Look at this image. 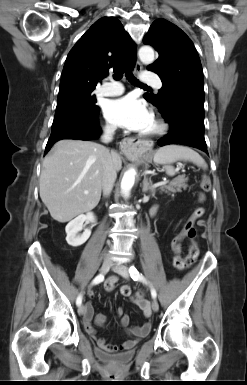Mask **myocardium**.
Wrapping results in <instances>:
<instances>
[{
  "mask_svg": "<svg viewBox=\"0 0 247 385\" xmlns=\"http://www.w3.org/2000/svg\"><path fill=\"white\" fill-rule=\"evenodd\" d=\"M153 121L155 123L154 129L149 132H144L143 137L153 138L160 135H163L167 130V124L165 121L157 114L153 115Z\"/></svg>",
  "mask_w": 247,
  "mask_h": 385,
  "instance_id": "myocardium-1",
  "label": "myocardium"
}]
</instances>
